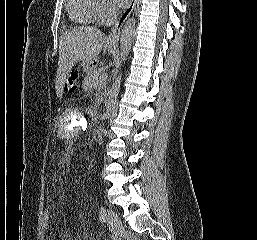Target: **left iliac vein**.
Returning <instances> with one entry per match:
<instances>
[{
	"label": "left iliac vein",
	"mask_w": 257,
	"mask_h": 240,
	"mask_svg": "<svg viewBox=\"0 0 257 240\" xmlns=\"http://www.w3.org/2000/svg\"><path fill=\"white\" fill-rule=\"evenodd\" d=\"M106 221L113 232H117L122 227V222L118 214L112 210H107Z\"/></svg>",
	"instance_id": "1"
}]
</instances>
